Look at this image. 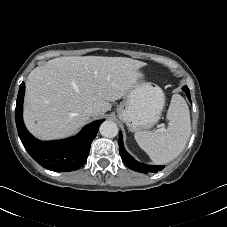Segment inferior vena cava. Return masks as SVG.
Returning <instances> with one entry per match:
<instances>
[{
	"mask_svg": "<svg viewBox=\"0 0 227 227\" xmlns=\"http://www.w3.org/2000/svg\"><path fill=\"white\" fill-rule=\"evenodd\" d=\"M85 113L89 116H94L96 114V110L93 107H87L85 109Z\"/></svg>",
	"mask_w": 227,
	"mask_h": 227,
	"instance_id": "1",
	"label": "inferior vena cava"
}]
</instances>
